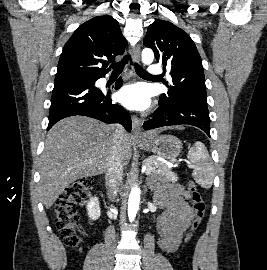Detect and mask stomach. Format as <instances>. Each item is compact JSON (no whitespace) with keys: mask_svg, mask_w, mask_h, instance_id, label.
<instances>
[{"mask_svg":"<svg viewBox=\"0 0 267 270\" xmlns=\"http://www.w3.org/2000/svg\"><path fill=\"white\" fill-rule=\"evenodd\" d=\"M143 148L165 159L176 158L182 150V142L173 135H146L142 144Z\"/></svg>","mask_w":267,"mask_h":270,"instance_id":"0dacf381","label":"stomach"}]
</instances>
